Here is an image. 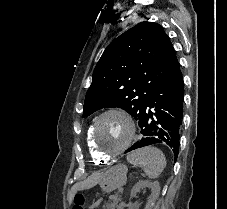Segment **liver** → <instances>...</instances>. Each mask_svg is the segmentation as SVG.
I'll list each match as a JSON object with an SVG mask.
<instances>
[{"instance_id":"obj_1","label":"liver","mask_w":227,"mask_h":209,"mask_svg":"<svg viewBox=\"0 0 227 209\" xmlns=\"http://www.w3.org/2000/svg\"><path fill=\"white\" fill-rule=\"evenodd\" d=\"M73 197H74V193H71V195H70V199H69V203H72V199H73Z\"/></svg>"}]
</instances>
